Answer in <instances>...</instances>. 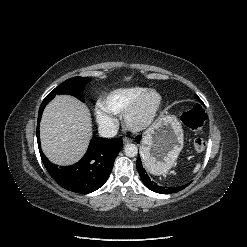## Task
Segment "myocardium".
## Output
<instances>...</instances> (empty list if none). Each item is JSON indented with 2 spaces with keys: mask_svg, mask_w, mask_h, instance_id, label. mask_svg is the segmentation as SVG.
Listing matches in <instances>:
<instances>
[{
  "mask_svg": "<svg viewBox=\"0 0 247 247\" xmlns=\"http://www.w3.org/2000/svg\"><path fill=\"white\" fill-rule=\"evenodd\" d=\"M149 95H154L156 97V105L151 114L146 119L137 122L134 120V115L141 103L143 102V100ZM162 104L163 99L160 93H158L156 90L148 89L139 97H137L123 113V121L125 126L132 132L144 131L145 129L149 128L156 120L161 111Z\"/></svg>",
  "mask_w": 247,
  "mask_h": 247,
  "instance_id": "f54148a6",
  "label": "myocardium"
}]
</instances>
